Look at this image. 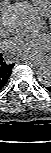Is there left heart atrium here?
Wrapping results in <instances>:
<instances>
[{
  "label": "left heart atrium",
  "instance_id": "obj_1",
  "mask_svg": "<svg viewBox=\"0 0 51 153\" xmlns=\"http://www.w3.org/2000/svg\"><path fill=\"white\" fill-rule=\"evenodd\" d=\"M50 44V37L46 33L14 37L7 43L14 55L29 61L40 59L50 48Z\"/></svg>",
  "mask_w": 51,
  "mask_h": 153
}]
</instances>
